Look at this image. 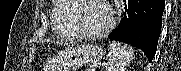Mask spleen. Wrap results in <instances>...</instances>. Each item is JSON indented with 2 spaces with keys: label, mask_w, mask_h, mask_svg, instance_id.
<instances>
[{
  "label": "spleen",
  "mask_w": 181,
  "mask_h": 71,
  "mask_svg": "<svg viewBox=\"0 0 181 71\" xmlns=\"http://www.w3.org/2000/svg\"><path fill=\"white\" fill-rule=\"evenodd\" d=\"M109 60L106 71H125L135 58L132 48L119 42H112L108 46Z\"/></svg>",
  "instance_id": "3e777b00"
}]
</instances>
